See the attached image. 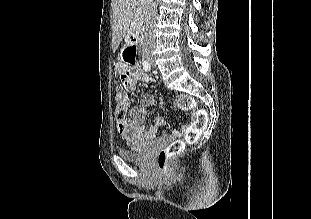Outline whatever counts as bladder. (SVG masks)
Masks as SVG:
<instances>
[{"mask_svg":"<svg viewBox=\"0 0 311 219\" xmlns=\"http://www.w3.org/2000/svg\"><path fill=\"white\" fill-rule=\"evenodd\" d=\"M150 144L132 145L130 148H119L118 154L125 160L142 162L149 154Z\"/></svg>","mask_w":311,"mask_h":219,"instance_id":"1","label":"bladder"}]
</instances>
